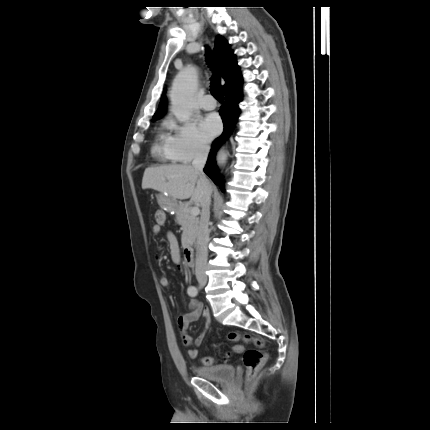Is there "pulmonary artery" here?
Segmentation results:
<instances>
[{
	"instance_id": "pulmonary-artery-1",
	"label": "pulmonary artery",
	"mask_w": 430,
	"mask_h": 430,
	"mask_svg": "<svg viewBox=\"0 0 430 430\" xmlns=\"http://www.w3.org/2000/svg\"><path fill=\"white\" fill-rule=\"evenodd\" d=\"M217 106L216 101L211 95H206L202 101V108L204 110H213Z\"/></svg>"
}]
</instances>
